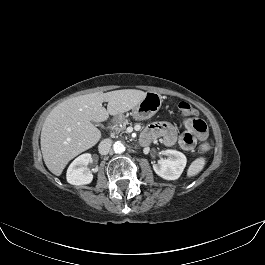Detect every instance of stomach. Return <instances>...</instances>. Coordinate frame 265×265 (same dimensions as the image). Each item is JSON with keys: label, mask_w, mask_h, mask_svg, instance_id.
<instances>
[{"label": "stomach", "mask_w": 265, "mask_h": 265, "mask_svg": "<svg viewBox=\"0 0 265 265\" xmlns=\"http://www.w3.org/2000/svg\"><path fill=\"white\" fill-rule=\"evenodd\" d=\"M162 97L156 92H148L144 99L132 109L136 120H145L155 115L161 107Z\"/></svg>", "instance_id": "0dacf381"}]
</instances>
